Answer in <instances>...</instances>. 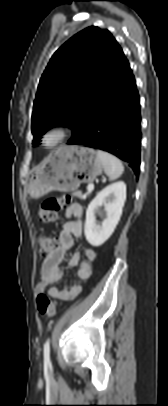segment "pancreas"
I'll return each mask as SVG.
<instances>
[{
    "instance_id": "pancreas-1",
    "label": "pancreas",
    "mask_w": 168,
    "mask_h": 406,
    "mask_svg": "<svg viewBox=\"0 0 168 406\" xmlns=\"http://www.w3.org/2000/svg\"><path fill=\"white\" fill-rule=\"evenodd\" d=\"M73 196L84 199V195H82L81 191L73 192Z\"/></svg>"
}]
</instances>
